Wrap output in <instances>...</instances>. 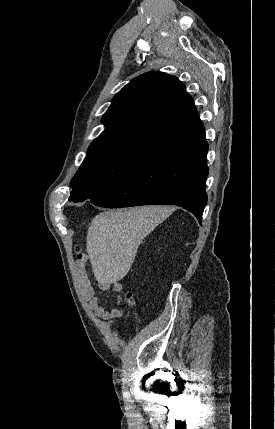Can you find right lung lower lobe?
Instances as JSON below:
<instances>
[{
    "instance_id": "obj_1",
    "label": "right lung lower lobe",
    "mask_w": 275,
    "mask_h": 429,
    "mask_svg": "<svg viewBox=\"0 0 275 429\" xmlns=\"http://www.w3.org/2000/svg\"><path fill=\"white\" fill-rule=\"evenodd\" d=\"M207 151L204 130L178 140L147 158L135 172L91 202L108 208L172 204L190 211L201 223L207 202Z\"/></svg>"
}]
</instances>
